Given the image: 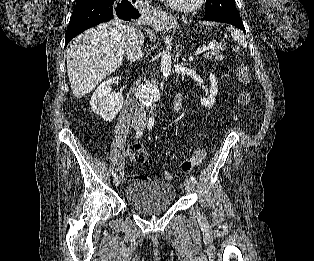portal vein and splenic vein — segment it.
Instances as JSON below:
<instances>
[{
  "mask_svg": "<svg viewBox=\"0 0 314 261\" xmlns=\"http://www.w3.org/2000/svg\"><path fill=\"white\" fill-rule=\"evenodd\" d=\"M216 47V43H213V42H211L207 47H203V48H201V49H198L197 51H196V55H200V54H202L204 51H207V50H209V49H214Z\"/></svg>",
  "mask_w": 314,
  "mask_h": 261,
  "instance_id": "obj_1",
  "label": "portal vein and splenic vein"
}]
</instances>
